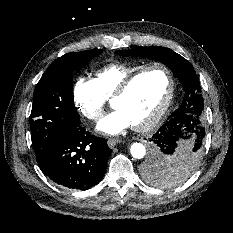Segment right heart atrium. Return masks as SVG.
Instances as JSON below:
<instances>
[{"label":"right heart atrium","mask_w":233,"mask_h":233,"mask_svg":"<svg viewBox=\"0 0 233 233\" xmlns=\"http://www.w3.org/2000/svg\"><path fill=\"white\" fill-rule=\"evenodd\" d=\"M72 99L79 114L87 120L97 121L103 115L106 100L94 79L79 77L73 86Z\"/></svg>","instance_id":"d8ad5b80"}]
</instances>
